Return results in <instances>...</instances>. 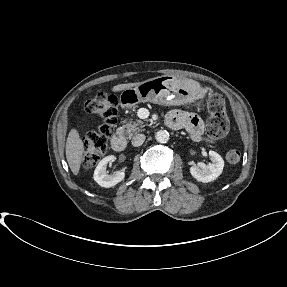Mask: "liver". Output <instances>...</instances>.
<instances>
[{"instance_id": "1", "label": "liver", "mask_w": 287, "mask_h": 287, "mask_svg": "<svg viewBox=\"0 0 287 287\" xmlns=\"http://www.w3.org/2000/svg\"><path fill=\"white\" fill-rule=\"evenodd\" d=\"M139 83H127V84H118L112 88L113 92L122 91L128 88L137 86ZM84 152L83 142L80 138V135L76 129H71L67 141H66V159L68 165L74 175H77L80 170L82 163V157Z\"/></svg>"}]
</instances>
